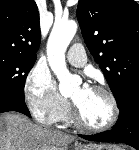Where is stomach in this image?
<instances>
[{"mask_svg":"<svg viewBox=\"0 0 139 150\" xmlns=\"http://www.w3.org/2000/svg\"><path fill=\"white\" fill-rule=\"evenodd\" d=\"M74 150H122L118 146L100 144V145H84V146H75Z\"/></svg>","mask_w":139,"mask_h":150,"instance_id":"obj_1","label":"stomach"}]
</instances>
